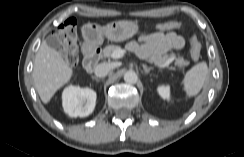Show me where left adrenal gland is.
<instances>
[{"instance_id":"1","label":"left adrenal gland","mask_w":244,"mask_h":157,"mask_svg":"<svg viewBox=\"0 0 244 157\" xmlns=\"http://www.w3.org/2000/svg\"><path fill=\"white\" fill-rule=\"evenodd\" d=\"M142 67L144 69L145 74H149L151 70H153V67H147L145 64H142Z\"/></svg>"}]
</instances>
